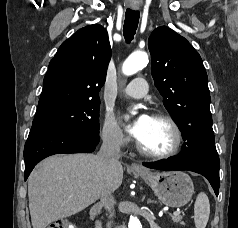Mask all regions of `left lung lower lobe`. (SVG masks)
I'll use <instances>...</instances> for the list:
<instances>
[{"mask_svg": "<svg viewBox=\"0 0 238 228\" xmlns=\"http://www.w3.org/2000/svg\"><path fill=\"white\" fill-rule=\"evenodd\" d=\"M144 166L158 170H188L205 176L214 189L216 196L219 193L220 160L217 153L204 155L197 159L182 163L177 156L160 160L156 163H144Z\"/></svg>", "mask_w": 238, "mask_h": 228, "instance_id": "1", "label": "left lung lower lobe"}]
</instances>
